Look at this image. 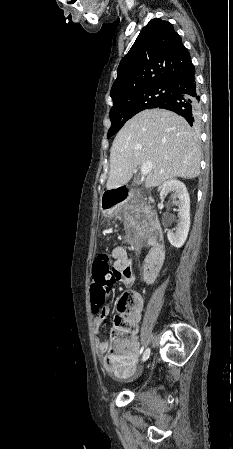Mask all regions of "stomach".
Listing matches in <instances>:
<instances>
[{
	"label": "stomach",
	"instance_id": "1",
	"mask_svg": "<svg viewBox=\"0 0 233 449\" xmlns=\"http://www.w3.org/2000/svg\"><path fill=\"white\" fill-rule=\"evenodd\" d=\"M102 212L108 216H114L119 212V206H102Z\"/></svg>",
	"mask_w": 233,
	"mask_h": 449
}]
</instances>
